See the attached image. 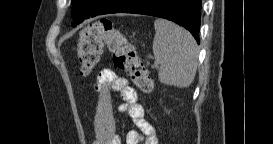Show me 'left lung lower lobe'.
<instances>
[{
	"label": "left lung lower lobe",
	"mask_w": 273,
	"mask_h": 144,
	"mask_svg": "<svg viewBox=\"0 0 273 144\" xmlns=\"http://www.w3.org/2000/svg\"><path fill=\"white\" fill-rule=\"evenodd\" d=\"M89 2L83 0L85 6ZM119 12L171 20L189 30L199 43L201 0H96L91 8L72 14V26L90 17Z\"/></svg>",
	"instance_id": "obj_1"
}]
</instances>
